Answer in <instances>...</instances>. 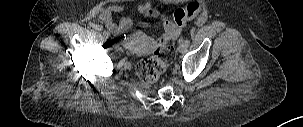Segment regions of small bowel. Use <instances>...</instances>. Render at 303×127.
<instances>
[{
	"instance_id": "c3829d8e",
	"label": "small bowel",
	"mask_w": 303,
	"mask_h": 127,
	"mask_svg": "<svg viewBox=\"0 0 303 127\" xmlns=\"http://www.w3.org/2000/svg\"><path fill=\"white\" fill-rule=\"evenodd\" d=\"M124 10L122 4L116 3L101 9L99 18L105 27L114 35L121 38L122 43L137 54L149 52L155 45L156 40L152 36L146 35L140 28L149 27L145 22L135 21L130 17H122L120 20L114 19V14ZM137 11L144 17L159 19L161 24V39L170 40L177 34V28L167 17H160L159 11L153 7L150 1H146L138 6Z\"/></svg>"
}]
</instances>
